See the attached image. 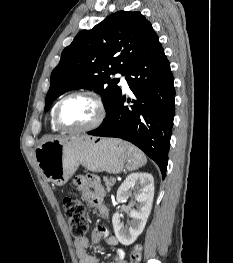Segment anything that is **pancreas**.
I'll return each mask as SVG.
<instances>
[{
  "label": "pancreas",
  "instance_id": "cf45deb5",
  "mask_svg": "<svg viewBox=\"0 0 233 263\" xmlns=\"http://www.w3.org/2000/svg\"><path fill=\"white\" fill-rule=\"evenodd\" d=\"M103 180H104L107 191H110L111 187L115 184V181L112 180V178L108 179L107 177H104Z\"/></svg>",
  "mask_w": 233,
  "mask_h": 263
}]
</instances>
